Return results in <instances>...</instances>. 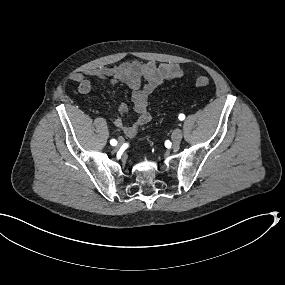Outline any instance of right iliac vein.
<instances>
[{
  "instance_id": "63e3f726",
  "label": "right iliac vein",
  "mask_w": 285,
  "mask_h": 285,
  "mask_svg": "<svg viewBox=\"0 0 285 285\" xmlns=\"http://www.w3.org/2000/svg\"><path fill=\"white\" fill-rule=\"evenodd\" d=\"M123 143H124V139L123 138H119L117 146L120 147Z\"/></svg>"
}]
</instances>
